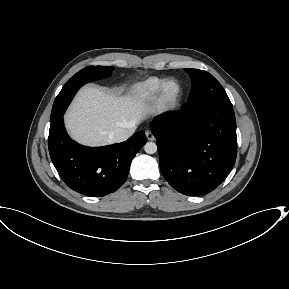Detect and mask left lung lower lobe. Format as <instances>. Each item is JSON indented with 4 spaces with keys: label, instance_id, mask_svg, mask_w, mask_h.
<instances>
[{
    "label": "left lung lower lobe",
    "instance_id": "1",
    "mask_svg": "<svg viewBox=\"0 0 289 289\" xmlns=\"http://www.w3.org/2000/svg\"><path fill=\"white\" fill-rule=\"evenodd\" d=\"M160 169L178 192L197 196L213 191L232 170L237 155L232 106L216 102L182 105L155 117Z\"/></svg>",
    "mask_w": 289,
    "mask_h": 289
}]
</instances>
